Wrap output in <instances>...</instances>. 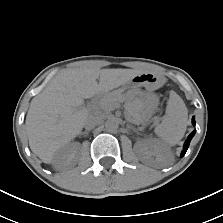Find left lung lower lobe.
Masks as SVG:
<instances>
[{"instance_id": "1", "label": "left lung lower lobe", "mask_w": 223, "mask_h": 223, "mask_svg": "<svg viewBox=\"0 0 223 223\" xmlns=\"http://www.w3.org/2000/svg\"><path fill=\"white\" fill-rule=\"evenodd\" d=\"M192 123L195 125V119H194V117L192 118ZM195 132H196V130H194V131L188 136L187 140L185 141V143H184V148H183V151H182V153H181V157H183L184 154L186 153V151H187V149H188V147H189L190 141H191L192 137L194 136Z\"/></svg>"}]
</instances>
